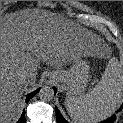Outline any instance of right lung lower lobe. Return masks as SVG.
<instances>
[{"label":"right lung lower lobe","instance_id":"1","mask_svg":"<svg viewBox=\"0 0 123 123\" xmlns=\"http://www.w3.org/2000/svg\"><path fill=\"white\" fill-rule=\"evenodd\" d=\"M39 90H40V88L33 91L32 93L28 94L26 97V102H28ZM17 123H26L25 111H23V113Z\"/></svg>","mask_w":123,"mask_h":123}]
</instances>
